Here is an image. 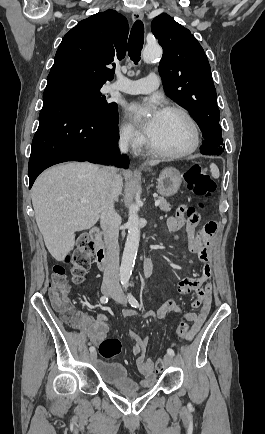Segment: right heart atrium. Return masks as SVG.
<instances>
[{
	"instance_id": "obj_1",
	"label": "right heart atrium",
	"mask_w": 265,
	"mask_h": 434,
	"mask_svg": "<svg viewBox=\"0 0 265 434\" xmlns=\"http://www.w3.org/2000/svg\"><path fill=\"white\" fill-rule=\"evenodd\" d=\"M116 127L119 139H115V148H124L126 154H139L140 151H144L146 138L140 132H136L129 118H119Z\"/></svg>"
}]
</instances>
